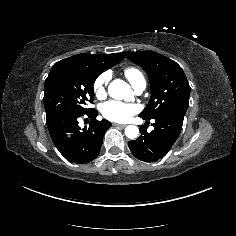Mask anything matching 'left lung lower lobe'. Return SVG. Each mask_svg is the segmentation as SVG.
Listing matches in <instances>:
<instances>
[{
	"mask_svg": "<svg viewBox=\"0 0 236 236\" xmlns=\"http://www.w3.org/2000/svg\"><path fill=\"white\" fill-rule=\"evenodd\" d=\"M186 110L171 109L152 119L154 129L148 133L144 127L139 138L128 142L132 154L144 162L163 158L180 135Z\"/></svg>",
	"mask_w": 236,
	"mask_h": 236,
	"instance_id": "0a47b994",
	"label": "left lung lower lobe"
}]
</instances>
